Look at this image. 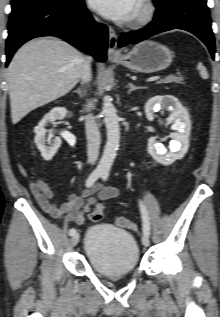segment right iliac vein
I'll use <instances>...</instances> for the list:
<instances>
[{
    "label": "right iliac vein",
    "mask_w": 220,
    "mask_h": 317,
    "mask_svg": "<svg viewBox=\"0 0 220 317\" xmlns=\"http://www.w3.org/2000/svg\"><path fill=\"white\" fill-rule=\"evenodd\" d=\"M79 239H80V234L79 233H75L72 238H71V244L73 246H76L79 242Z\"/></svg>",
    "instance_id": "right-iliac-vein-1"
}]
</instances>
